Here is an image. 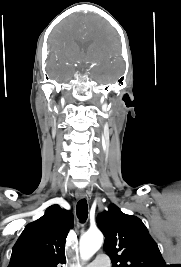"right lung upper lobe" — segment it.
Returning <instances> with one entry per match:
<instances>
[{
    "label": "right lung upper lobe",
    "mask_w": 181,
    "mask_h": 267,
    "mask_svg": "<svg viewBox=\"0 0 181 267\" xmlns=\"http://www.w3.org/2000/svg\"><path fill=\"white\" fill-rule=\"evenodd\" d=\"M74 219L59 205L28 224L13 247L8 267H57L66 262L65 241Z\"/></svg>",
    "instance_id": "1"
}]
</instances>
